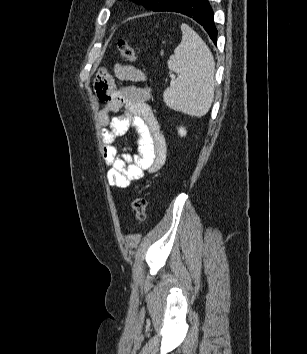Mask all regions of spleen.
<instances>
[{
	"instance_id": "spleen-1",
	"label": "spleen",
	"mask_w": 307,
	"mask_h": 354,
	"mask_svg": "<svg viewBox=\"0 0 307 354\" xmlns=\"http://www.w3.org/2000/svg\"><path fill=\"white\" fill-rule=\"evenodd\" d=\"M182 40L170 56L168 68L177 78L163 93L165 104L176 111L201 117L214 99L215 62L201 37L188 25L181 26Z\"/></svg>"
}]
</instances>
